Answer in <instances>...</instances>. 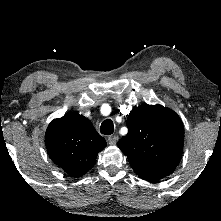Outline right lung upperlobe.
<instances>
[{
  "instance_id": "cb5924a9",
  "label": "right lung upper lobe",
  "mask_w": 221,
  "mask_h": 221,
  "mask_svg": "<svg viewBox=\"0 0 221 221\" xmlns=\"http://www.w3.org/2000/svg\"><path fill=\"white\" fill-rule=\"evenodd\" d=\"M45 144L51 160L73 177H81L106 147L92 123L77 112L53 120L46 131Z\"/></svg>"
}]
</instances>
